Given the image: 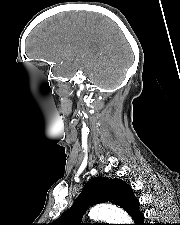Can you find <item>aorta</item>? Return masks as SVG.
Wrapping results in <instances>:
<instances>
[{
	"instance_id": "obj_1",
	"label": "aorta",
	"mask_w": 180,
	"mask_h": 225,
	"mask_svg": "<svg viewBox=\"0 0 180 225\" xmlns=\"http://www.w3.org/2000/svg\"><path fill=\"white\" fill-rule=\"evenodd\" d=\"M89 216L94 220H104L109 224H132L129 215L114 205L95 206L91 209Z\"/></svg>"
}]
</instances>
